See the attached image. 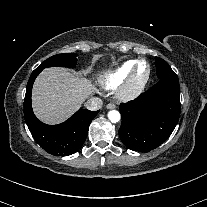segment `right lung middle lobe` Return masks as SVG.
<instances>
[{
  "label": "right lung middle lobe",
  "instance_id": "dd1d6c3e",
  "mask_svg": "<svg viewBox=\"0 0 207 207\" xmlns=\"http://www.w3.org/2000/svg\"><path fill=\"white\" fill-rule=\"evenodd\" d=\"M74 53L58 54L45 60L36 70H43L52 66L75 67L77 58Z\"/></svg>",
  "mask_w": 207,
  "mask_h": 207
}]
</instances>
